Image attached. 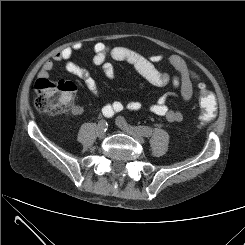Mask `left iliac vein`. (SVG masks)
Masks as SVG:
<instances>
[{"mask_svg": "<svg viewBox=\"0 0 245 245\" xmlns=\"http://www.w3.org/2000/svg\"><path fill=\"white\" fill-rule=\"evenodd\" d=\"M116 124L118 125L119 128H121L124 132H126L127 134L131 135L132 137H134L136 140H138L140 143H144V137L142 134H140L139 132H137L135 129L131 128V127H127L124 126L121 123V117H118L116 119Z\"/></svg>", "mask_w": 245, "mask_h": 245, "instance_id": "4c4485c4", "label": "left iliac vein"}]
</instances>
